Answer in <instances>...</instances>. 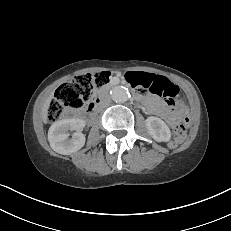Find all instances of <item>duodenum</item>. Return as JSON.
I'll use <instances>...</instances> for the list:
<instances>
[{"label": "duodenum", "mask_w": 231, "mask_h": 231, "mask_svg": "<svg viewBox=\"0 0 231 231\" xmlns=\"http://www.w3.org/2000/svg\"><path fill=\"white\" fill-rule=\"evenodd\" d=\"M104 95V92H102L98 97H96L94 100H92L90 103H89V105H88V107H87V111H88V113H92L96 108H97V106L100 104V102H101V98H102V96ZM138 98H140V97H138Z\"/></svg>", "instance_id": "1"}]
</instances>
